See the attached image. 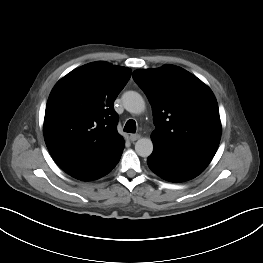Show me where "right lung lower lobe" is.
I'll use <instances>...</instances> for the list:
<instances>
[{"instance_id":"1","label":"right lung lower lobe","mask_w":263,"mask_h":263,"mask_svg":"<svg viewBox=\"0 0 263 263\" xmlns=\"http://www.w3.org/2000/svg\"><path fill=\"white\" fill-rule=\"evenodd\" d=\"M123 149L120 150L113 158H111L109 161L96 166L92 168H87L75 173L70 174L74 178H77L79 180L83 181H91L98 178L103 177L107 173H109L119 162L120 157L122 155Z\"/></svg>"}]
</instances>
